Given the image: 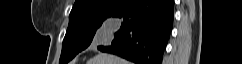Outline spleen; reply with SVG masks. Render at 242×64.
I'll use <instances>...</instances> for the list:
<instances>
[{
  "label": "spleen",
  "mask_w": 242,
  "mask_h": 64,
  "mask_svg": "<svg viewBox=\"0 0 242 64\" xmlns=\"http://www.w3.org/2000/svg\"><path fill=\"white\" fill-rule=\"evenodd\" d=\"M88 64H131V63L115 55L98 54L93 59L88 61Z\"/></svg>",
  "instance_id": "obj_1"
}]
</instances>
